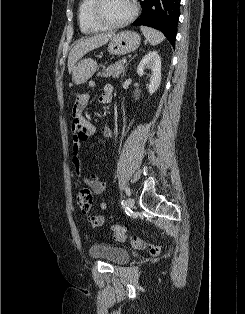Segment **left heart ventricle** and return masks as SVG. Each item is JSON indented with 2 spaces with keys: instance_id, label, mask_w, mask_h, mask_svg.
Here are the masks:
<instances>
[{
  "instance_id": "b2bd125f",
  "label": "left heart ventricle",
  "mask_w": 245,
  "mask_h": 314,
  "mask_svg": "<svg viewBox=\"0 0 245 314\" xmlns=\"http://www.w3.org/2000/svg\"><path fill=\"white\" fill-rule=\"evenodd\" d=\"M132 12L131 0H102L101 17L110 23L126 19Z\"/></svg>"
}]
</instances>
